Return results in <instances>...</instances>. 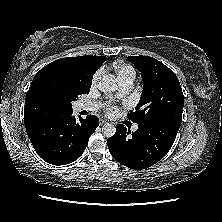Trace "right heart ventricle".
I'll return each instance as SVG.
<instances>
[{
	"label": "right heart ventricle",
	"mask_w": 222,
	"mask_h": 222,
	"mask_svg": "<svg viewBox=\"0 0 222 222\" xmlns=\"http://www.w3.org/2000/svg\"><path fill=\"white\" fill-rule=\"evenodd\" d=\"M113 68L119 83L127 80L134 81L136 78V71L131 65L115 63Z\"/></svg>",
	"instance_id": "1"
}]
</instances>
